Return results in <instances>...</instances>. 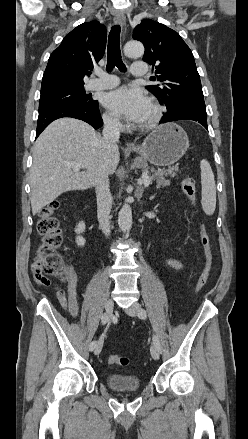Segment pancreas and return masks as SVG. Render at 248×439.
Instances as JSON below:
<instances>
[{"mask_svg":"<svg viewBox=\"0 0 248 439\" xmlns=\"http://www.w3.org/2000/svg\"><path fill=\"white\" fill-rule=\"evenodd\" d=\"M177 171L178 166H173L169 169H151L149 179L150 181L155 180L157 183V187H165L170 184V181L166 180L165 177L168 175L174 177Z\"/></svg>","mask_w":248,"mask_h":439,"instance_id":"1","label":"pancreas"}]
</instances>
